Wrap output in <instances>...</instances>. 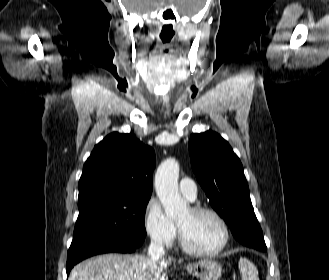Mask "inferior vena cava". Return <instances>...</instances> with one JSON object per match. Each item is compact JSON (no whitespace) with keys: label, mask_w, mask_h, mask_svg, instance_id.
Returning a JSON list of instances; mask_svg holds the SVG:
<instances>
[{"label":"inferior vena cava","mask_w":329,"mask_h":280,"mask_svg":"<svg viewBox=\"0 0 329 280\" xmlns=\"http://www.w3.org/2000/svg\"><path fill=\"white\" fill-rule=\"evenodd\" d=\"M148 257L153 260H159L165 255V251L162 242L159 240H152L148 247Z\"/></svg>","instance_id":"inferior-vena-cava-1"}]
</instances>
